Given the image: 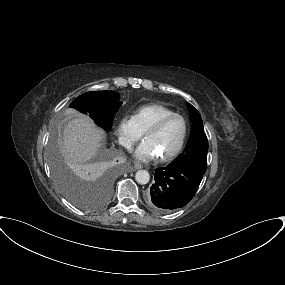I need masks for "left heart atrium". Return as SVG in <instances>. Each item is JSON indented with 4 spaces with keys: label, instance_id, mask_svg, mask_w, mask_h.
Instances as JSON below:
<instances>
[{
    "label": "left heart atrium",
    "instance_id": "39dd6f15",
    "mask_svg": "<svg viewBox=\"0 0 285 285\" xmlns=\"http://www.w3.org/2000/svg\"><path fill=\"white\" fill-rule=\"evenodd\" d=\"M135 157L140 161H148L157 157V153L147 140H144L135 150Z\"/></svg>",
    "mask_w": 285,
    "mask_h": 285
}]
</instances>
